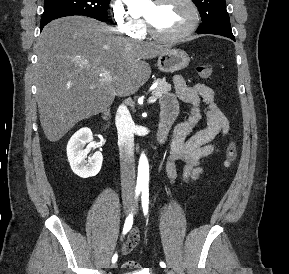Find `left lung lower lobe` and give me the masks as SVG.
Segmentation results:
<instances>
[{
	"label": "left lung lower lobe",
	"mask_w": 289,
	"mask_h": 274,
	"mask_svg": "<svg viewBox=\"0 0 289 274\" xmlns=\"http://www.w3.org/2000/svg\"><path fill=\"white\" fill-rule=\"evenodd\" d=\"M225 37H228V38H230V39H232V40H234V41H235V39H234V36H233V35H226Z\"/></svg>",
	"instance_id": "0a47b994"
}]
</instances>
